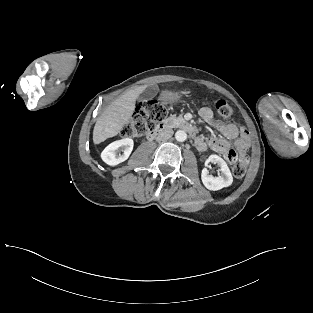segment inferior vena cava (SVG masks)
Listing matches in <instances>:
<instances>
[{
  "label": "inferior vena cava",
  "mask_w": 313,
  "mask_h": 313,
  "mask_svg": "<svg viewBox=\"0 0 313 313\" xmlns=\"http://www.w3.org/2000/svg\"><path fill=\"white\" fill-rule=\"evenodd\" d=\"M172 135H173L172 129H165L157 136L156 139L157 141L168 140Z\"/></svg>",
  "instance_id": "inferior-vena-cava-1"
}]
</instances>
